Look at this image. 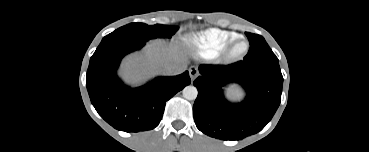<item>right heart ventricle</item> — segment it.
Here are the masks:
<instances>
[{
  "instance_id": "e07e8e85",
  "label": "right heart ventricle",
  "mask_w": 369,
  "mask_h": 152,
  "mask_svg": "<svg viewBox=\"0 0 369 152\" xmlns=\"http://www.w3.org/2000/svg\"><path fill=\"white\" fill-rule=\"evenodd\" d=\"M239 37L235 32L210 28L197 33L193 43L205 58H212L226 49L230 42Z\"/></svg>"
}]
</instances>
